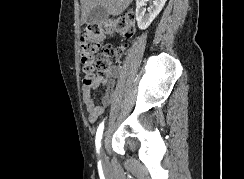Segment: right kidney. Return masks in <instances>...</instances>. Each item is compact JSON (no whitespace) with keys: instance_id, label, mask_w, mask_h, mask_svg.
<instances>
[{"instance_id":"ca27d5eb","label":"right kidney","mask_w":244,"mask_h":179,"mask_svg":"<svg viewBox=\"0 0 244 179\" xmlns=\"http://www.w3.org/2000/svg\"><path fill=\"white\" fill-rule=\"evenodd\" d=\"M146 2H149V0H136L135 18L140 30H146L152 24L153 20L157 18L162 8H164L167 0H155L153 6L147 10L148 14H146V8H144Z\"/></svg>"}]
</instances>
